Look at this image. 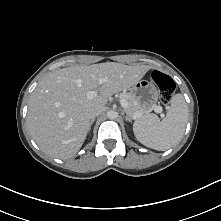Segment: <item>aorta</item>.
Segmentation results:
<instances>
[{"instance_id": "obj_1", "label": "aorta", "mask_w": 221, "mask_h": 221, "mask_svg": "<svg viewBox=\"0 0 221 221\" xmlns=\"http://www.w3.org/2000/svg\"><path fill=\"white\" fill-rule=\"evenodd\" d=\"M107 116L109 119H116L118 117V113L114 110H110L107 112Z\"/></svg>"}]
</instances>
